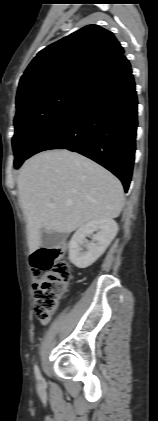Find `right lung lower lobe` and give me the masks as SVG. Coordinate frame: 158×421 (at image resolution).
<instances>
[{"mask_svg": "<svg viewBox=\"0 0 158 421\" xmlns=\"http://www.w3.org/2000/svg\"><path fill=\"white\" fill-rule=\"evenodd\" d=\"M137 104L131 65L123 55L83 86L29 157L50 149L78 152L115 174L127 192L134 163Z\"/></svg>", "mask_w": 158, "mask_h": 421, "instance_id": "1", "label": "right lung lower lobe"}]
</instances>
